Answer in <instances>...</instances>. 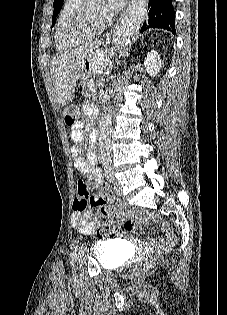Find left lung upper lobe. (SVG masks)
<instances>
[{
	"instance_id": "obj_1",
	"label": "left lung upper lobe",
	"mask_w": 227,
	"mask_h": 315,
	"mask_svg": "<svg viewBox=\"0 0 227 315\" xmlns=\"http://www.w3.org/2000/svg\"><path fill=\"white\" fill-rule=\"evenodd\" d=\"M64 0H54L53 6H54V12L52 16V26L55 24L56 16L58 15L59 11L62 8Z\"/></svg>"
}]
</instances>
